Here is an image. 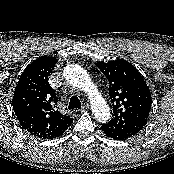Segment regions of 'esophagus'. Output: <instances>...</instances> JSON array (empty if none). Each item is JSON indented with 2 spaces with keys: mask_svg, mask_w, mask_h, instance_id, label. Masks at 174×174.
Returning <instances> with one entry per match:
<instances>
[{
  "mask_svg": "<svg viewBox=\"0 0 174 174\" xmlns=\"http://www.w3.org/2000/svg\"><path fill=\"white\" fill-rule=\"evenodd\" d=\"M88 107L89 105L85 103L80 111H85L86 109H88Z\"/></svg>",
  "mask_w": 174,
  "mask_h": 174,
  "instance_id": "esophagus-1",
  "label": "esophagus"
}]
</instances>
